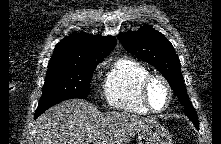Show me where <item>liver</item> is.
I'll list each match as a JSON object with an SVG mask.
<instances>
[{"label":"liver","instance_id":"obj_1","mask_svg":"<svg viewBox=\"0 0 221 144\" xmlns=\"http://www.w3.org/2000/svg\"><path fill=\"white\" fill-rule=\"evenodd\" d=\"M157 124L133 113H101L92 103L68 100L48 109L36 121L35 144H127Z\"/></svg>","mask_w":221,"mask_h":144}]
</instances>
